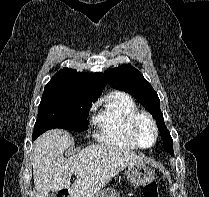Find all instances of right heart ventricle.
Wrapping results in <instances>:
<instances>
[{"mask_svg":"<svg viewBox=\"0 0 209 197\" xmlns=\"http://www.w3.org/2000/svg\"><path fill=\"white\" fill-rule=\"evenodd\" d=\"M138 111L130 95L120 91L112 92L93 117V123L99 129V140L127 150L137 149L131 138L130 123Z\"/></svg>","mask_w":209,"mask_h":197,"instance_id":"right-heart-ventricle-1","label":"right heart ventricle"}]
</instances>
